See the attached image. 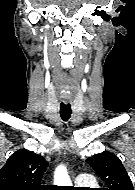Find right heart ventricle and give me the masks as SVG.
I'll return each instance as SVG.
<instances>
[{
	"mask_svg": "<svg viewBox=\"0 0 135 190\" xmlns=\"http://www.w3.org/2000/svg\"><path fill=\"white\" fill-rule=\"evenodd\" d=\"M90 185L95 186V185H96V183L93 181Z\"/></svg>",
	"mask_w": 135,
	"mask_h": 190,
	"instance_id": "1",
	"label": "right heart ventricle"
}]
</instances>
